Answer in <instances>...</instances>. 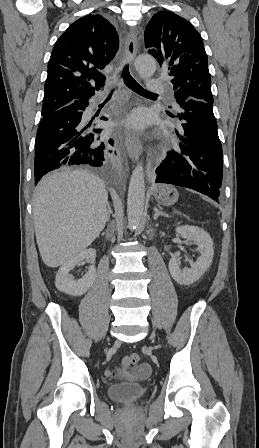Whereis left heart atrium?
<instances>
[{"label": "left heart atrium", "instance_id": "39dd6f15", "mask_svg": "<svg viewBox=\"0 0 259 448\" xmlns=\"http://www.w3.org/2000/svg\"><path fill=\"white\" fill-rule=\"evenodd\" d=\"M131 124L137 128H140L144 125V116L141 111L133 114V116L131 117ZM181 154L182 152L178 150H171L166 152L167 157L171 160L179 159Z\"/></svg>", "mask_w": 259, "mask_h": 448}]
</instances>
